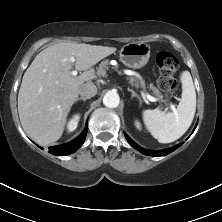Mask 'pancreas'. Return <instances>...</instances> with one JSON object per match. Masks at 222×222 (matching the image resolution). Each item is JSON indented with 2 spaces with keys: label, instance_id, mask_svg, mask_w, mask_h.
Masks as SVG:
<instances>
[{
  "label": "pancreas",
  "instance_id": "pancreas-1",
  "mask_svg": "<svg viewBox=\"0 0 222 222\" xmlns=\"http://www.w3.org/2000/svg\"><path fill=\"white\" fill-rule=\"evenodd\" d=\"M109 68V60L106 59L104 61H102L100 64H99V67L97 69V74L99 76H104L106 74V70H108ZM135 82V85L136 86H141L142 88H145V83L143 80H141L140 78H134V77H131L130 78V83H133ZM149 88L150 90H152L153 94L160 97L161 98V93L160 91L151 83L149 84Z\"/></svg>",
  "mask_w": 222,
  "mask_h": 222
}]
</instances>
